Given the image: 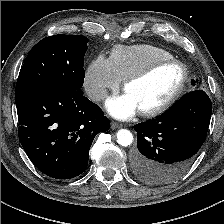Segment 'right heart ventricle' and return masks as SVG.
Segmentation results:
<instances>
[{
    "mask_svg": "<svg viewBox=\"0 0 224 224\" xmlns=\"http://www.w3.org/2000/svg\"><path fill=\"white\" fill-rule=\"evenodd\" d=\"M168 58H173L169 51L149 44L118 45L113 48L110 55L112 67L120 80H125L129 75L142 70L156 60Z\"/></svg>",
    "mask_w": 224,
    "mask_h": 224,
    "instance_id": "e07e8e85",
    "label": "right heart ventricle"
}]
</instances>
